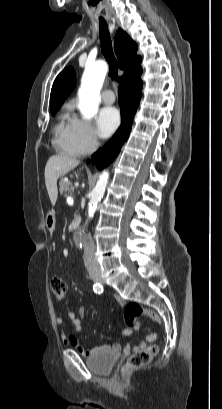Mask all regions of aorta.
I'll return each mask as SVG.
<instances>
[{
    "label": "aorta",
    "instance_id": "1",
    "mask_svg": "<svg viewBox=\"0 0 222 409\" xmlns=\"http://www.w3.org/2000/svg\"><path fill=\"white\" fill-rule=\"evenodd\" d=\"M108 67L104 61H97L87 65L81 80V87L78 91V108L84 119L89 120L98 112L100 102V90L102 88ZM109 179V173L103 171L90 193L89 214H92L98 203L103 198Z\"/></svg>",
    "mask_w": 222,
    "mask_h": 409
}]
</instances>
